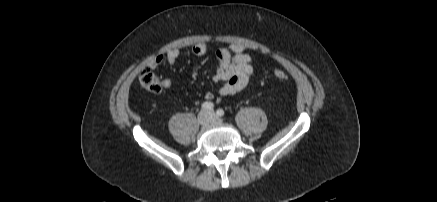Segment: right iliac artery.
Listing matches in <instances>:
<instances>
[{"instance_id":"82829eb1","label":"right iliac artery","mask_w":437,"mask_h":202,"mask_svg":"<svg viewBox=\"0 0 437 202\" xmlns=\"http://www.w3.org/2000/svg\"><path fill=\"white\" fill-rule=\"evenodd\" d=\"M213 107H214V105H213V103H211V102H204V103L201 105V108H202L203 110H212Z\"/></svg>"}]
</instances>
